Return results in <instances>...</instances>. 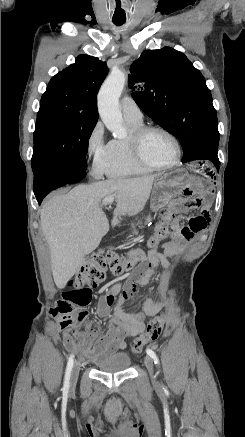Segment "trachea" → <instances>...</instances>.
<instances>
[{"instance_id": "1", "label": "trachea", "mask_w": 245, "mask_h": 437, "mask_svg": "<svg viewBox=\"0 0 245 437\" xmlns=\"http://www.w3.org/2000/svg\"><path fill=\"white\" fill-rule=\"evenodd\" d=\"M125 23V21H114V24H116L117 26H121Z\"/></svg>"}]
</instances>
